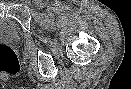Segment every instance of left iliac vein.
I'll return each mask as SVG.
<instances>
[{
    "instance_id": "obj_1",
    "label": "left iliac vein",
    "mask_w": 131,
    "mask_h": 89,
    "mask_svg": "<svg viewBox=\"0 0 131 89\" xmlns=\"http://www.w3.org/2000/svg\"><path fill=\"white\" fill-rule=\"evenodd\" d=\"M52 12V9L51 8H48V13H51Z\"/></svg>"
}]
</instances>
